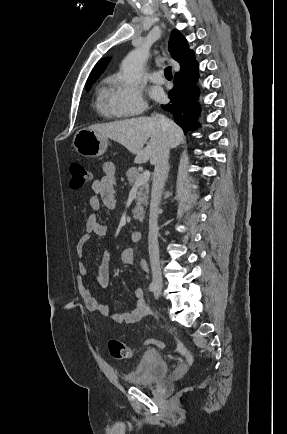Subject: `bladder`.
Here are the masks:
<instances>
[{
	"instance_id": "obj_1",
	"label": "bladder",
	"mask_w": 287,
	"mask_h": 434,
	"mask_svg": "<svg viewBox=\"0 0 287 434\" xmlns=\"http://www.w3.org/2000/svg\"><path fill=\"white\" fill-rule=\"evenodd\" d=\"M169 373L167 360L156 352L146 353L141 361L127 372V382L138 387H151Z\"/></svg>"
}]
</instances>
